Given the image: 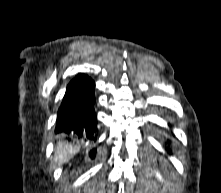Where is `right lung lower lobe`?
I'll list each match as a JSON object with an SVG mask.
<instances>
[{
  "instance_id": "obj_1",
  "label": "right lung lower lobe",
  "mask_w": 221,
  "mask_h": 193,
  "mask_svg": "<svg viewBox=\"0 0 221 193\" xmlns=\"http://www.w3.org/2000/svg\"><path fill=\"white\" fill-rule=\"evenodd\" d=\"M95 83L79 74L67 86L58 111L55 132L68 140L96 141ZM91 153H95L93 150Z\"/></svg>"
}]
</instances>
